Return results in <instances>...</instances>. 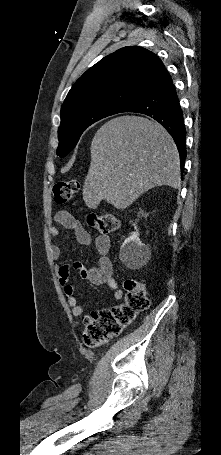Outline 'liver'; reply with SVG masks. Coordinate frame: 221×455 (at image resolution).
I'll return each mask as SVG.
<instances>
[{
	"label": "liver",
	"mask_w": 221,
	"mask_h": 455,
	"mask_svg": "<svg viewBox=\"0 0 221 455\" xmlns=\"http://www.w3.org/2000/svg\"><path fill=\"white\" fill-rule=\"evenodd\" d=\"M83 200L96 209L102 200L117 209L130 206L149 189L181 187L180 159L169 133L157 122L124 115L94 135Z\"/></svg>",
	"instance_id": "1"
}]
</instances>
